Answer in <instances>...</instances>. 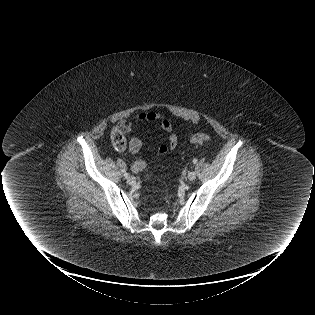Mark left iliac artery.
Listing matches in <instances>:
<instances>
[{
  "instance_id": "left-iliac-artery-1",
  "label": "left iliac artery",
  "mask_w": 315,
  "mask_h": 315,
  "mask_svg": "<svg viewBox=\"0 0 315 315\" xmlns=\"http://www.w3.org/2000/svg\"><path fill=\"white\" fill-rule=\"evenodd\" d=\"M193 163L196 164V163H197V159H194V160H193Z\"/></svg>"
}]
</instances>
